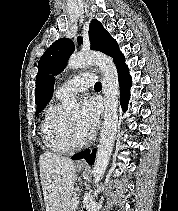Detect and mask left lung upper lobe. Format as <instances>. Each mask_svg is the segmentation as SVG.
<instances>
[{
    "instance_id": "5c2ea615",
    "label": "left lung upper lobe",
    "mask_w": 178,
    "mask_h": 211,
    "mask_svg": "<svg viewBox=\"0 0 178 211\" xmlns=\"http://www.w3.org/2000/svg\"><path fill=\"white\" fill-rule=\"evenodd\" d=\"M89 38L91 49L98 50L112 57L115 63L123 56L115 39L103 28L98 20H92L89 26ZM78 44L82 43V38L78 37ZM74 51L72 40L62 38L55 41L42 55L38 63V73L36 76V98L42 88L43 82L50 77L47 74L57 75L66 66V63ZM53 78V76H52Z\"/></svg>"
}]
</instances>
